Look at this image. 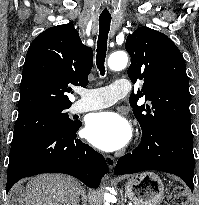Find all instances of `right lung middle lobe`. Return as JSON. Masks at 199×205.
Masks as SVG:
<instances>
[{"mask_svg":"<svg viewBox=\"0 0 199 205\" xmlns=\"http://www.w3.org/2000/svg\"><path fill=\"white\" fill-rule=\"evenodd\" d=\"M69 107L40 108L20 113L15 123L11 146L25 143L44 133L75 126L77 122L72 121L66 113Z\"/></svg>","mask_w":199,"mask_h":205,"instance_id":"obj_1","label":"right lung middle lobe"}]
</instances>
